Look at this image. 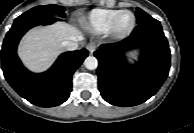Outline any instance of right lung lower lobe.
Masks as SVG:
<instances>
[{"mask_svg":"<svg viewBox=\"0 0 194 133\" xmlns=\"http://www.w3.org/2000/svg\"><path fill=\"white\" fill-rule=\"evenodd\" d=\"M60 21L56 17L15 21L2 46V70L11 87L23 98L40 107L65 102L72 90V75L88 56L86 49L63 53L46 72L34 74L23 67L16 50L21 37L32 27Z\"/></svg>","mask_w":194,"mask_h":133,"instance_id":"1","label":"right lung lower lobe"}]
</instances>
